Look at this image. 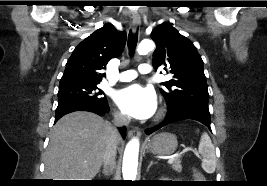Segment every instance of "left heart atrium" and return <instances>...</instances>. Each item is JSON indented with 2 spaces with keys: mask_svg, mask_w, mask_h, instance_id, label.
Segmentation results:
<instances>
[{
  "mask_svg": "<svg viewBox=\"0 0 267 186\" xmlns=\"http://www.w3.org/2000/svg\"><path fill=\"white\" fill-rule=\"evenodd\" d=\"M116 102L125 114L136 119L150 118L157 108L155 92L140 84H132L118 91Z\"/></svg>",
  "mask_w": 267,
  "mask_h": 186,
  "instance_id": "obj_1",
  "label": "left heart atrium"
}]
</instances>
